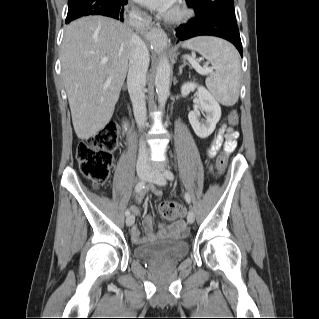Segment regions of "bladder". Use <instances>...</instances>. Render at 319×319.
Masks as SVG:
<instances>
[{
    "instance_id": "1",
    "label": "bladder",
    "mask_w": 319,
    "mask_h": 319,
    "mask_svg": "<svg viewBox=\"0 0 319 319\" xmlns=\"http://www.w3.org/2000/svg\"><path fill=\"white\" fill-rule=\"evenodd\" d=\"M189 253V243L186 240L169 238L163 241L147 242L139 245L135 254L138 258L147 259L153 256H165L178 259Z\"/></svg>"
}]
</instances>
